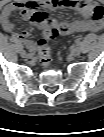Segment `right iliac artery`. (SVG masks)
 I'll return each mask as SVG.
<instances>
[{
  "label": "right iliac artery",
  "instance_id": "obj_1",
  "mask_svg": "<svg viewBox=\"0 0 104 137\" xmlns=\"http://www.w3.org/2000/svg\"><path fill=\"white\" fill-rule=\"evenodd\" d=\"M20 47L22 50H26V47H24V44H20Z\"/></svg>",
  "mask_w": 104,
  "mask_h": 137
}]
</instances>
